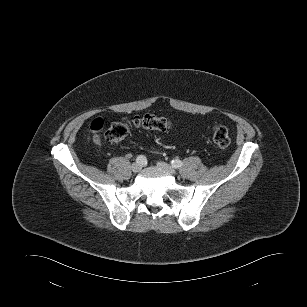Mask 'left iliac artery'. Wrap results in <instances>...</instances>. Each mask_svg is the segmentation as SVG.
<instances>
[{
  "mask_svg": "<svg viewBox=\"0 0 307 307\" xmlns=\"http://www.w3.org/2000/svg\"><path fill=\"white\" fill-rule=\"evenodd\" d=\"M171 165H172L174 168H179V167L182 166V161L179 160V159L172 160V161H171Z\"/></svg>",
  "mask_w": 307,
  "mask_h": 307,
  "instance_id": "1",
  "label": "left iliac artery"
}]
</instances>
